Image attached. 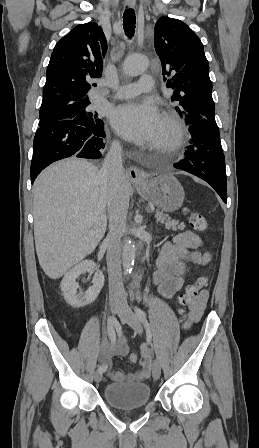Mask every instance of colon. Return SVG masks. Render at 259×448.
Returning <instances> with one entry per match:
<instances>
[{"instance_id":"1","label":"colon","mask_w":259,"mask_h":448,"mask_svg":"<svg viewBox=\"0 0 259 448\" xmlns=\"http://www.w3.org/2000/svg\"><path fill=\"white\" fill-rule=\"evenodd\" d=\"M187 218L191 227L196 231H206L209 228L206 218L198 212L186 211ZM209 278L202 276L197 279L196 282L189 284L183 293L180 294L178 301L180 305L179 313L185 315L188 308H191L196 298L200 295L203 289L207 286ZM132 363H136L139 360L137 354L132 353L129 356Z\"/></svg>"}]
</instances>
